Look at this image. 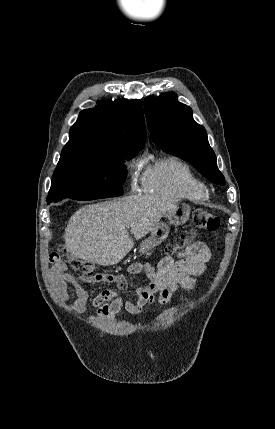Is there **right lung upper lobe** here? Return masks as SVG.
<instances>
[{
  "instance_id": "obj_1",
  "label": "right lung upper lobe",
  "mask_w": 275,
  "mask_h": 429,
  "mask_svg": "<svg viewBox=\"0 0 275 429\" xmlns=\"http://www.w3.org/2000/svg\"><path fill=\"white\" fill-rule=\"evenodd\" d=\"M145 140L140 100L98 101L95 108L79 114L61 158L138 152L143 149Z\"/></svg>"
}]
</instances>
